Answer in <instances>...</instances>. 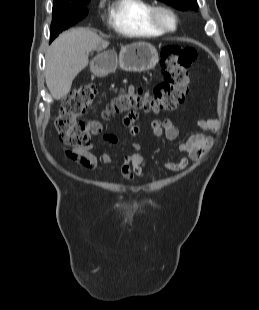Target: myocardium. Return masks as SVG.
Returning <instances> with one entry per match:
<instances>
[{"label": "myocardium", "mask_w": 259, "mask_h": 310, "mask_svg": "<svg viewBox=\"0 0 259 310\" xmlns=\"http://www.w3.org/2000/svg\"><path fill=\"white\" fill-rule=\"evenodd\" d=\"M165 15L171 19V25L166 24L162 16ZM149 19L151 24L164 33L174 32L178 27V17L175 12L166 6H153Z\"/></svg>", "instance_id": "1"}]
</instances>
